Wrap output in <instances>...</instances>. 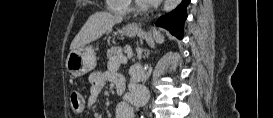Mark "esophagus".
I'll use <instances>...</instances> for the list:
<instances>
[{"label":"esophagus","instance_id":"1","mask_svg":"<svg viewBox=\"0 0 273 118\" xmlns=\"http://www.w3.org/2000/svg\"><path fill=\"white\" fill-rule=\"evenodd\" d=\"M131 26L134 28H139L140 24L139 23H132Z\"/></svg>","mask_w":273,"mask_h":118}]
</instances>
